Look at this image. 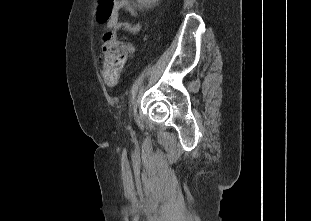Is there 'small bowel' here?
Wrapping results in <instances>:
<instances>
[{"instance_id": "1", "label": "small bowel", "mask_w": 311, "mask_h": 221, "mask_svg": "<svg viewBox=\"0 0 311 221\" xmlns=\"http://www.w3.org/2000/svg\"><path fill=\"white\" fill-rule=\"evenodd\" d=\"M121 12H128L135 19H139L141 16L136 0H115L112 17L108 23L109 28L115 32L120 30L129 31L131 33L139 32L141 29V23L137 22L132 25L129 22L120 21L119 15ZM123 50L126 57L131 58L134 53V46L130 43L124 44Z\"/></svg>"}]
</instances>
